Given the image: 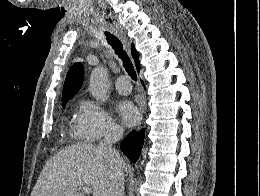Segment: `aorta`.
<instances>
[{
  "mask_svg": "<svg viewBox=\"0 0 260 196\" xmlns=\"http://www.w3.org/2000/svg\"><path fill=\"white\" fill-rule=\"evenodd\" d=\"M90 92L96 100H106L109 88L108 71L104 66L95 67L90 75Z\"/></svg>",
  "mask_w": 260,
  "mask_h": 196,
  "instance_id": "obj_1",
  "label": "aorta"
}]
</instances>
